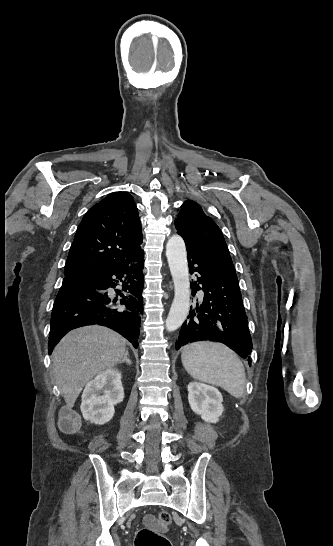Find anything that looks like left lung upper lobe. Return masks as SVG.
<instances>
[{
  "instance_id": "5c2ea615",
  "label": "left lung upper lobe",
  "mask_w": 333,
  "mask_h": 546,
  "mask_svg": "<svg viewBox=\"0 0 333 546\" xmlns=\"http://www.w3.org/2000/svg\"><path fill=\"white\" fill-rule=\"evenodd\" d=\"M175 225L184 241L199 252L219 261L232 263L222 232L196 202L187 200L183 203Z\"/></svg>"
}]
</instances>
